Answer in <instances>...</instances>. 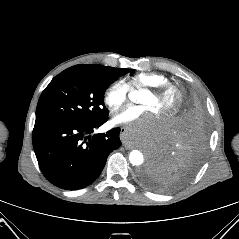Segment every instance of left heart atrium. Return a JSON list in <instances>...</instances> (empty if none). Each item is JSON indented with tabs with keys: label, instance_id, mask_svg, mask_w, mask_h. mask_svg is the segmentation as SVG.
<instances>
[{
	"label": "left heart atrium",
	"instance_id": "1",
	"mask_svg": "<svg viewBox=\"0 0 239 239\" xmlns=\"http://www.w3.org/2000/svg\"><path fill=\"white\" fill-rule=\"evenodd\" d=\"M156 114L146 105L128 106L113 116L115 124L127 125L130 128V139L136 141L139 136L153 131L156 127ZM134 122H136L134 124ZM134 124V125H132Z\"/></svg>",
	"mask_w": 239,
	"mask_h": 239
}]
</instances>
